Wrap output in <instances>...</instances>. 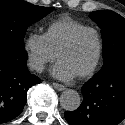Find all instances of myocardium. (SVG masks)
<instances>
[{
    "label": "myocardium",
    "mask_w": 125,
    "mask_h": 125,
    "mask_svg": "<svg viewBox=\"0 0 125 125\" xmlns=\"http://www.w3.org/2000/svg\"><path fill=\"white\" fill-rule=\"evenodd\" d=\"M85 32H93L97 38V42H98V49H97V54L96 57L92 63V65L83 73L77 75L76 77L79 79H84V78H88L90 77L97 69L101 57H102V52H103V40L101 37L100 32L91 26H86L84 28H81L77 31H75L58 49V51L56 52V57L59 59L60 54L66 50H68L69 48H71L74 43L77 41V39Z\"/></svg>",
    "instance_id": "obj_1"
}]
</instances>
